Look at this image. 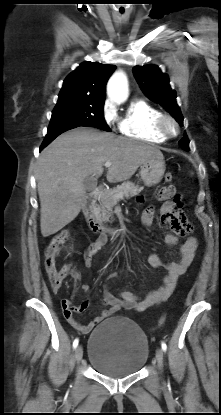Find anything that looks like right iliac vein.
Instances as JSON below:
<instances>
[{
	"label": "right iliac vein",
	"mask_w": 221,
	"mask_h": 415,
	"mask_svg": "<svg viewBox=\"0 0 221 415\" xmlns=\"http://www.w3.org/2000/svg\"><path fill=\"white\" fill-rule=\"evenodd\" d=\"M82 357H83V348L82 346H78L75 349V358L78 363L82 360Z\"/></svg>",
	"instance_id": "63e3f726"
}]
</instances>
